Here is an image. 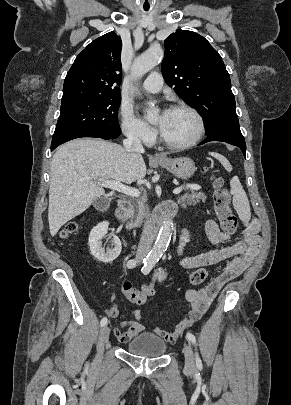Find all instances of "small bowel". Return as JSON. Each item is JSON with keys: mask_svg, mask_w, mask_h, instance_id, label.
I'll list each match as a JSON object with an SVG mask.
<instances>
[{"mask_svg": "<svg viewBox=\"0 0 291 405\" xmlns=\"http://www.w3.org/2000/svg\"><path fill=\"white\" fill-rule=\"evenodd\" d=\"M205 230L209 240L216 245H222L228 242L230 236L223 232L217 222L213 219L207 220ZM258 222L248 223L242 234V239L229 246H221L216 249L199 253L196 255H184V248L189 241L190 234L188 230L182 232L178 247L180 263L184 268L197 269L212 266L222 261L228 260L221 273L208 285L201 289L190 288L186 290L184 301L188 304L189 311L185 318L180 321L171 332L161 328H154L153 333L167 342H175L180 335L190 326H192L207 311L211 302L219 290L229 281L240 276L257 256L261 247V238L258 235ZM110 317H117L119 309L117 305H111L106 310ZM123 326L128 327L125 332L115 329V337L119 342L127 343L135 338L139 333L145 331V326L141 322V311H135V320L123 321Z\"/></svg>", "mask_w": 291, "mask_h": 405, "instance_id": "obj_1", "label": "small bowel"}]
</instances>
